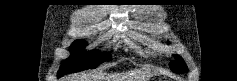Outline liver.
<instances>
[{
  "instance_id": "1",
  "label": "liver",
  "mask_w": 237,
  "mask_h": 81,
  "mask_svg": "<svg viewBox=\"0 0 237 81\" xmlns=\"http://www.w3.org/2000/svg\"><path fill=\"white\" fill-rule=\"evenodd\" d=\"M66 79H67L66 81H122L120 80L121 78L118 77L117 75H107L101 72L72 75Z\"/></svg>"
}]
</instances>
